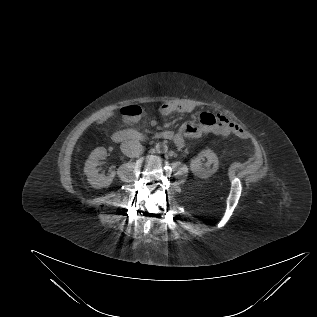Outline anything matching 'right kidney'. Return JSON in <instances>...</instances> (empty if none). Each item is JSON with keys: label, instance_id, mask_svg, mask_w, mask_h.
<instances>
[{"label": "right kidney", "instance_id": "ca27d5eb", "mask_svg": "<svg viewBox=\"0 0 317 317\" xmlns=\"http://www.w3.org/2000/svg\"><path fill=\"white\" fill-rule=\"evenodd\" d=\"M106 156V149L104 147H97L92 151L85 162L84 172L88 177V182L93 188L100 189L102 187H108L116 175L114 170H111L107 176L98 172L97 166L99 165V160Z\"/></svg>", "mask_w": 317, "mask_h": 317}]
</instances>
